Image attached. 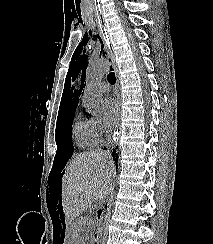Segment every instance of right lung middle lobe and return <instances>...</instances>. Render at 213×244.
Segmentation results:
<instances>
[{"label":"right lung middle lobe","mask_w":213,"mask_h":244,"mask_svg":"<svg viewBox=\"0 0 213 244\" xmlns=\"http://www.w3.org/2000/svg\"><path fill=\"white\" fill-rule=\"evenodd\" d=\"M75 110L60 115L56 126L57 152L54 158L49 179L57 176L58 172L64 168L68 159L72 156L74 148L72 144V121Z\"/></svg>","instance_id":"1"}]
</instances>
